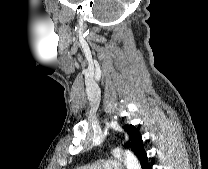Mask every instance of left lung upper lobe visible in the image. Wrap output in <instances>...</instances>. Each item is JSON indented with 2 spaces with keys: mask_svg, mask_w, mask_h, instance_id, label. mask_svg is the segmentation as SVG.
Listing matches in <instances>:
<instances>
[{
  "mask_svg": "<svg viewBox=\"0 0 208 169\" xmlns=\"http://www.w3.org/2000/svg\"><path fill=\"white\" fill-rule=\"evenodd\" d=\"M124 131L128 134L129 140L124 144V147L130 149L138 157L144 151L143 140L140 132L133 125L123 126Z\"/></svg>",
  "mask_w": 208,
  "mask_h": 169,
  "instance_id": "1",
  "label": "left lung upper lobe"
}]
</instances>
